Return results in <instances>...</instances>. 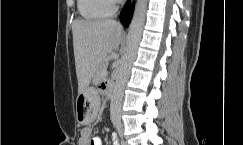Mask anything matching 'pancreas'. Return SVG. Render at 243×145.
I'll return each mask as SVG.
<instances>
[{
    "label": "pancreas",
    "instance_id": "cf45deb5",
    "mask_svg": "<svg viewBox=\"0 0 243 145\" xmlns=\"http://www.w3.org/2000/svg\"><path fill=\"white\" fill-rule=\"evenodd\" d=\"M107 66H108V63L106 60H103L100 62L99 69L95 75V78L97 81L101 80L106 75Z\"/></svg>",
    "mask_w": 243,
    "mask_h": 145
}]
</instances>
